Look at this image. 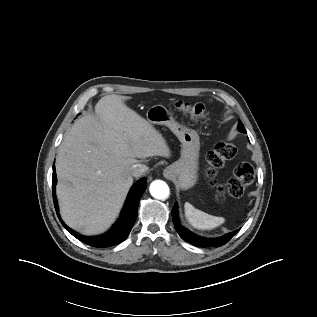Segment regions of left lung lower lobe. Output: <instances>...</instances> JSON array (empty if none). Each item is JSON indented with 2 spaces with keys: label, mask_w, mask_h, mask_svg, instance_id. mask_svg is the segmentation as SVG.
<instances>
[{
  "label": "left lung lower lobe",
  "mask_w": 317,
  "mask_h": 317,
  "mask_svg": "<svg viewBox=\"0 0 317 317\" xmlns=\"http://www.w3.org/2000/svg\"><path fill=\"white\" fill-rule=\"evenodd\" d=\"M172 219H173L174 226L178 234L180 235V237L183 240L197 247H220L224 245L225 243H227L238 232V230H236L219 238H206V237L198 236L190 232L189 230H187L180 224V221L178 218L177 204H175L173 207Z\"/></svg>",
  "instance_id": "obj_1"
}]
</instances>
